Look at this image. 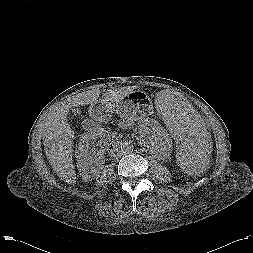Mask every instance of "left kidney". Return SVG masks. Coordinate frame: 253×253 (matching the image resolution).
Instances as JSON below:
<instances>
[{
  "mask_svg": "<svg viewBox=\"0 0 253 253\" xmlns=\"http://www.w3.org/2000/svg\"><path fill=\"white\" fill-rule=\"evenodd\" d=\"M140 139L151 153L157 156H167L171 149L172 140L166 129L158 121L147 119L138 126Z\"/></svg>",
  "mask_w": 253,
  "mask_h": 253,
  "instance_id": "5707ae66",
  "label": "left kidney"
}]
</instances>
